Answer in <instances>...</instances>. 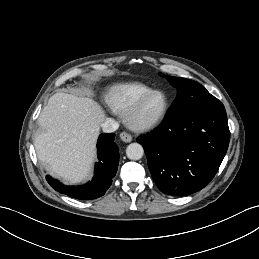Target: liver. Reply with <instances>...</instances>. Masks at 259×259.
Returning <instances> with one entry per match:
<instances>
[{
    "label": "liver",
    "instance_id": "6515ba94",
    "mask_svg": "<svg viewBox=\"0 0 259 259\" xmlns=\"http://www.w3.org/2000/svg\"><path fill=\"white\" fill-rule=\"evenodd\" d=\"M105 119L101 106L90 98L54 94L38 118L42 128L34 142L38 159L63 180H83L90 173Z\"/></svg>",
    "mask_w": 259,
    "mask_h": 259
}]
</instances>
